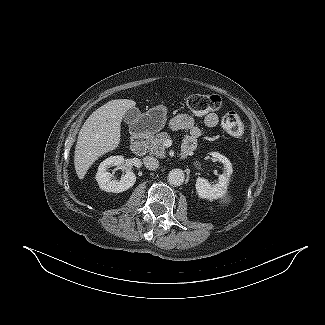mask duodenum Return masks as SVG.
<instances>
[{"instance_id": "1", "label": "duodenum", "mask_w": 325, "mask_h": 325, "mask_svg": "<svg viewBox=\"0 0 325 325\" xmlns=\"http://www.w3.org/2000/svg\"><path fill=\"white\" fill-rule=\"evenodd\" d=\"M148 135L136 134L133 136L131 151L136 155H143L147 150ZM194 151V147L185 145L182 147V156L187 157Z\"/></svg>"}]
</instances>
